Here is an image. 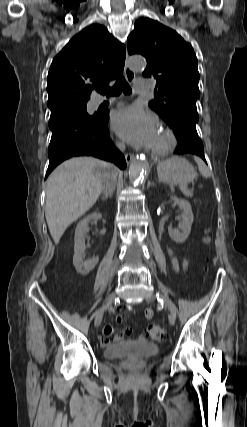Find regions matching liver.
Listing matches in <instances>:
<instances>
[{"label": "liver", "mask_w": 247, "mask_h": 427, "mask_svg": "<svg viewBox=\"0 0 247 427\" xmlns=\"http://www.w3.org/2000/svg\"><path fill=\"white\" fill-rule=\"evenodd\" d=\"M109 171L110 166L105 161L77 157L63 162L50 174L45 216L56 244L65 230L96 203Z\"/></svg>", "instance_id": "liver-1"}]
</instances>
